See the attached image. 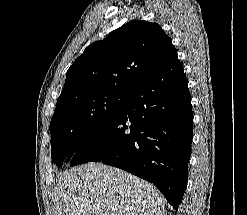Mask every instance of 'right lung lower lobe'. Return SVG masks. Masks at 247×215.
Masks as SVG:
<instances>
[{
    "mask_svg": "<svg viewBox=\"0 0 247 215\" xmlns=\"http://www.w3.org/2000/svg\"><path fill=\"white\" fill-rule=\"evenodd\" d=\"M193 112L177 52L131 94L124 110L84 136L70 166L101 161L153 183L175 210L188 181Z\"/></svg>",
    "mask_w": 247,
    "mask_h": 215,
    "instance_id": "1",
    "label": "right lung lower lobe"
}]
</instances>
